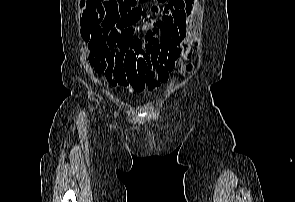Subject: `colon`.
<instances>
[{
	"mask_svg": "<svg viewBox=\"0 0 295 202\" xmlns=\"http://www.w3.org/2000/svg\"><path fill=\"white\" fill-rule=\"evenodd\" d=\"M145 1L146 0H102L103 7L106 10V14L114 15L115 17H123L131 13L133 11V8L139 2ZM113 19H105L99 24L90 23L93 27L91 31L86 35V39L89 41L91 49L92 47L107 46L108 40L110 38L108 30L112 27Z\"/></svg>",
	"mask_w": 295,
	"mask_h": 202,
	"instance_id": "1",
	"label": "colon"
}]
</instances>
